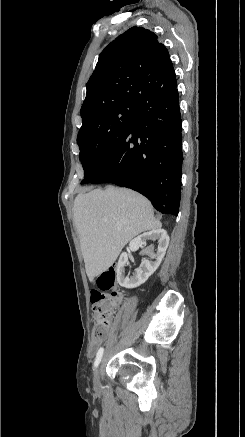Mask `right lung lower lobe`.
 I'll return each instance as SVG.
<instances>
[{
  "instance_id": "98d812e1",
  "label": "right lung lower lobe",
  "mask_w": 245,
  "mask_h": 437,
  "mask_svg": "<svg viewBox=\"0 0 245 437\" xmlns=\"http://www.w3.org/2000/svg\"><path fill=\"white\" fill-rule=\"evenodd\" d=\"M182 123L179 94L140 101L110 155L84 183L111 182L146 196L156 210L178 215L181 197Z\"/></svg>"
}]
</instances>
